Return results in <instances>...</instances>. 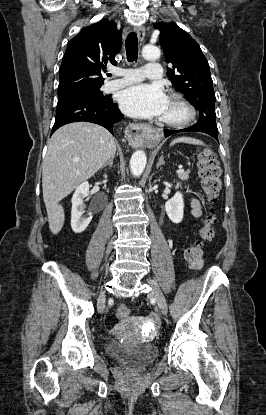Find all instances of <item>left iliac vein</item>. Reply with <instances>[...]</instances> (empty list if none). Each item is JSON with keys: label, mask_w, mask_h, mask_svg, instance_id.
I'll use <instances>...</instances> for the list:
<instances>
[{"label": "left iliac vein", "mask_w": 266, "mask_h": 415, "mask_svg": "<svg viewBox=\"0 0 266 415\" xmlns=\"http://www.w3.org/2000/svg\"><path fill=\"white\" fill-rule=\"evenodd\" d=\"M147 283L151 286L150 295L156 300L157 306L161 313L166 315L168 311L167 302L160 287L157 282L152 279H148Z\"/></svg>", "instance_id": "obj_1"}]
</instances>
